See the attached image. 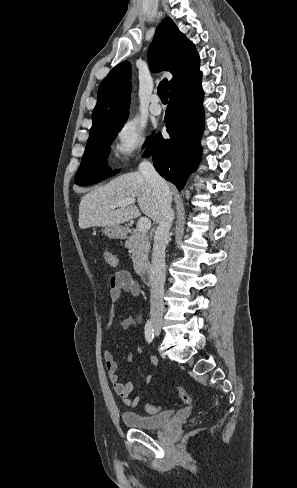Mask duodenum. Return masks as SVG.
I'll return each mask as SVG.
<instances>
[{"label":"duodenum","mask_w":297,"mask_h":488,"mask_svg":"<svg viewBox=\"0 0 297 488\" xmlns=\"http://www.w3.org/2000/svg\"><path fill=\"white\" fill-rule=\"evenodd\" d=\"M139 275L142 281L150 285L154 281V273H153V268L151 265H145L139 270Z\"/></svg>","instance_id":"1"}]
</instances>
